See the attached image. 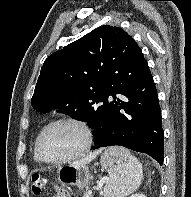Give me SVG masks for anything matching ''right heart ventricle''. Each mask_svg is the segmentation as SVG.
Returning a JSON list of instances; mask_svg holds the SVG:
<instances>
[{
	"instance_id": "right-heart-ventricle-1",
	"label": "right heart ventricle",
	"mask_w": 191,
	"mask_h": 197,
	"mask_svg": "<svg viewBox=\"0 0 191 197\" xmlns=\"http://www.w3.org/2000/svg\"><path fill=\"white\" fill-rule=\"evenodd\" d=\"M34 160L36 163H40L39 159L37 158L36 154H35V151H34Z\"/></svg>"
}]
</instances>
